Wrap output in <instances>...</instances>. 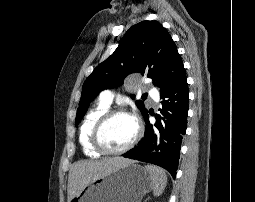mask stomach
Instances as JSON below:
<instances>
[{
  "label": "stomach",
  "instance_id": "obj_1",
  "mask_svg": "<svg viewBox=\"0 0 255 202\" xmlns=\"http://www.w3.org/2000/svg\"><path fill=\"white\" fill-rule=\"evenodd\" d=\"M153 188L146 168L130 164L92 181L70 202H141Z\"/></svg>",
  "mask_w": 255,
  "mask_h": 202
}]
</instances>
